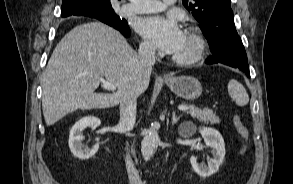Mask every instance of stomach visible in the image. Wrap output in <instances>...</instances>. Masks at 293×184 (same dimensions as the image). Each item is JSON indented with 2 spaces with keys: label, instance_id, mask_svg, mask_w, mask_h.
Masks as SVG:
<instances>
[{
  "label": "stomach",
  "instance_id": "1",
  "mask_svg": "<svg viewBox=\"0 0 293 184\" xmlns=\"http://www.w3.org/2000/svg\"><path fill=\"white\" fill-rule=\"evenodd\" d=\"M173 93L186 100H195L202 93L201 83L191 76H178L166 80Z\"/></svg>",
  "mask_w": 293,
  "mask_h": 184
}]
</instances>
